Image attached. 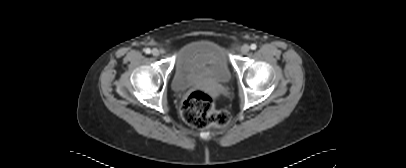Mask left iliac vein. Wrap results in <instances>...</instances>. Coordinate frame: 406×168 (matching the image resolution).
I'll return each instance as SVG.
<instances>
[{"label": "left iliac vein", "mask_w": 406, "mask_h": 168, "mask_svg": "<svg viewBox=\"0 0 406 168\" xmlns=\"http://www.w3.org/2000/svg\"><path fill=\"white\" fill-rule=\"evenodd\" d=\"M249 50H250V47L247 44H244L240 49L242 54H247L249 52Z\"/></svg>", "instance_id": "1"}]
</instances>
